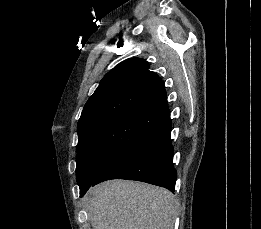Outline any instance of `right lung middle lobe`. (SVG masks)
<instances>
[{
  "instance_id": "obj_1",
  "label": "right lung middle lobe",
  "mask_w": 261,
  "mask_h": 229,
  "mask_svg": "<svg viewBox=\"0 0 261 229\" xmlns=\"http://www.w3.org/2000/svg\"><path fill=\"white\" fill-rule=\"evenodd\" d=\"M152 130H138L135 141L138 144L149 136ZM131 148L111 147L106 145H78L76 175L80 186V195L91 186L96 177L116 159L128 152Z\"/></svg>"
}]
</instances>
